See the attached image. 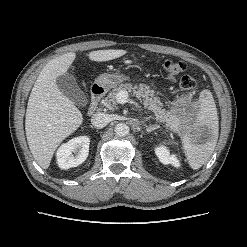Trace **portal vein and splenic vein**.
Listing matches in <instances>:
<instances>
[{"label":"portal vein and splenic vein","mask_w":247,"mask_h":247,"mask_svg":"<svg viewBox=\"0 0 247 247\" xmlns=\"http://www.w3.org/2000/svg\"><path fill=\"white\" fill-rule=\"evenodd\" d=\"M116 100H117V102L120 103V104L132 103V104H134L137 108H139V109L142 110V106H141L139 103L135 102V101L132 100V99H129V97H128V92L125 91V90H122V91H120V92L117 94Z\"/></svg>","instance_id":"portal-vein-and-splenic-vein-1"}]
</instances>
